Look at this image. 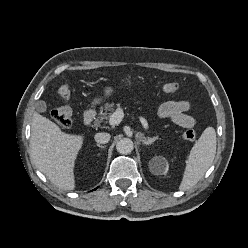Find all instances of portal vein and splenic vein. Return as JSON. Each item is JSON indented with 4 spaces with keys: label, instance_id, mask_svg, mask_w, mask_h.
Instances as JSON below:
<instances>
[{
    "label": "portal vein and splenic vein",
    "instance_id": "1",
    "mask_svg": "<svg viewBox=\"0 0 248 248\" xmlns=\"http://www.w3.org/2000/svg\"><path fill=\"white\" fill-rule=\"evenodd\" d=\"M123 117H124V112H123V110H122L121 108H118V109H116L115 112L110 116L109 124H110L111 126L118 125V124L122 121ZM139 120H140L142 126H143L145 129H148L147 120H146L144 117H142V116L139 117Z\"/></svg>",
    "mask_w": 248,
    "mask_h": 248
}]
</instances>
